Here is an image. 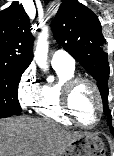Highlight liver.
<instances>
[{
	"instance_id": "obj_1",
	"label": "liver",
	"mask_w": 114,
	"mask_h": 156,
	"mask_svg": "<svg viewBox=\"0 0 114 156\" xmlns=\"http://www.w3.org/2000/svg\"><path fill=\"white\" fill-rule=\"evenodd\" d=\"M82 134L45 119H0V156H62L69 143Z\"/></svg>"
}]
</instances>
